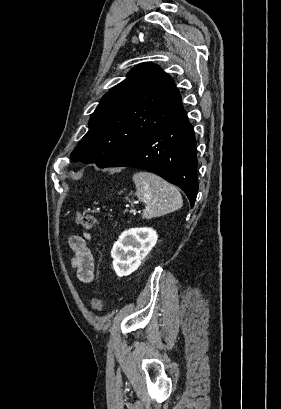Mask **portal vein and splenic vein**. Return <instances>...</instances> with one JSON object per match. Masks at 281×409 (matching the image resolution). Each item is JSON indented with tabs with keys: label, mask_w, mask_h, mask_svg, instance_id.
I'll use <instances>...</instances> for the list:
<instances>
[{
	"label": "portal vein and splenic vein",
	"mask_w": 281,
	"mask_h": 409,
	"mask_svg": "<svg viewBox=\"0 0 281 409\" xmlns=\"http://www.w3.org/2000/svg\"><path fill=\"white\" fill-rule=\"evenodd\" d=\"M125 213H126V214H129V213H131V214H134V213H135V214H138V213H139V210H138V209H135V210H134V209H131V210L126 209V210H125Z\"/></svg>",
	"instance_id": "obj_1"
}]
</instances>
